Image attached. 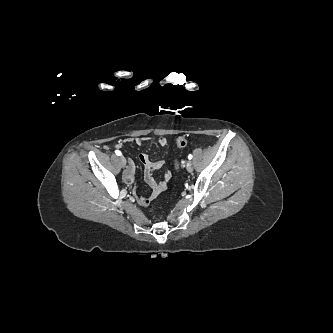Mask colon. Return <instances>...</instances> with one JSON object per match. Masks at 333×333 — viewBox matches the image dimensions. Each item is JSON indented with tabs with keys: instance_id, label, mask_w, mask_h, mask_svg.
Wrapping results in <instances>:
<instances>
[{
	"instance_id": "obj_1",
	"label": "colon",
	"mask_w": 333,
	"mask_h": 333,
	"mask_svg": "<svg viewBox=\"0 0 333 333\" xmlns=\"http://www.w3.org/2000/svg\"><path fill=\"white\" fill-rule=\"evenodd\" d=\"M188 144V140L185 137H180L176 141V145L178 148H184ZM176 167L179 168L180 164L176 161Z\"/></svg>"
}]
</instances>
